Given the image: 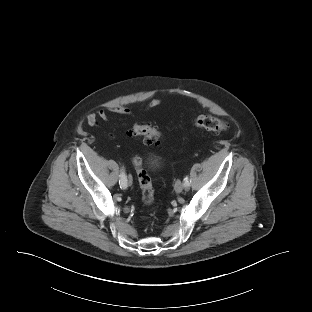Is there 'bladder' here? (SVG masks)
Returning a JSON list of instances; mask_svg holds the SVG:
<instances>
[{
    "instance_id": "obj_1",
    "label": "bladder",
    "mask_w": 312,
    "mask_h": 312,
    "mask_svg": "<svg viewBox=\"0 0 312 312\" xmlns=\"http://www.w3.org/2000/svg\"><path fill=\"white\" fill-rule=\"evenodd\" d=\"M147 164L150 166V167H154V168H157L161 165V160L159 157L157 156H150L148 159H147Z\"/></svg>"
}]
</instances>
